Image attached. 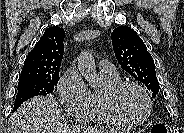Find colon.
I'll list each match as a JSON object with an SVG mask.
<instances>
[{
	"label": "colon",
	"instance_id": "1",
	"mask_svg": "<svg viewBox=\"0 0 184 133\" xmlns=\"http://www.w3.org/2000/svg\"><path fill=\"white\" fill-rule=\"evenodd\" d=\"M151 133H167V129L163 124H155L152 127Z\"/></svg>",
	"mask_w": 184,
	"mask_h": 133
}]
</instances>
